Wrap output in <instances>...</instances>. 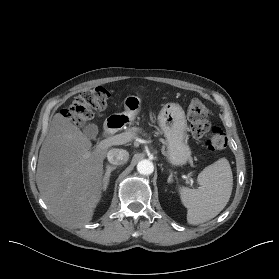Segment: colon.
<instances>
[{
	"mask_svg": "<svg viewBox=\"0 0 279 279\" xmlns=\"http://www.w3.org/2000/svg\"><path fill=\"white\" fill-rule=\"evenodd\" d=\"M110 91L103 86H98L80 92L72 104L63 110L65 118L77 124H85L93 117L94 111L106 109L110 100ZM209 111L206 105L193 99L188 105V119L193 136L205 137V147L209 151L221 150L227 145L226 134L219 124L209 121Z\"/></svg>",
	"mask_w": 279,
	"mask_h": 279,
	"instance_id": "colon-1",
	"label": "colon"
}]
</instances>
